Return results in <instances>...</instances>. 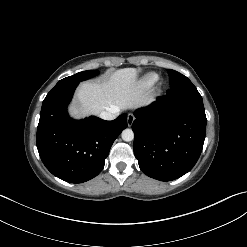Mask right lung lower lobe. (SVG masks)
<instances>
[{
	"label": "right lung lower lobe",
	"mask_w": 247,
	"mask_h": 247,
	"mask_svg": "<svg viewBox=\"0 0 247 247\" xmlns=\"http://www.w3.org/2000/svg\"><path fill=\"white\" fill-rule=\"evenodd\" d=\"M78 83H59L43 101L37 128V149L46 168L56 177L82 183L104 168L110 148L127 127V114L113 121L92 116L73 120L67 113Z\"/></svg>",
	"instance_id": "obj_1"
}]
</instances>
